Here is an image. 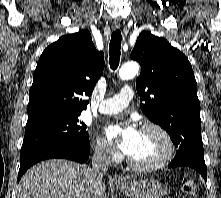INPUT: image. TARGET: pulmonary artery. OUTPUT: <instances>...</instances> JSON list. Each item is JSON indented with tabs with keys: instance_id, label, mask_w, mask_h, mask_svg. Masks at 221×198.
<instances>
[{
	"instance_id": "1",
	"label": "pulmonary artery",
	"mask_w": 221,
	"mask_h": 198,
	"mask_svg": "<svg viewBox=\"0 0 221 198\" xmlns=\"http://www.w3.org/2000/svg\"><path fill=\"white\" fill-rule=\"evenodd\" d=\"M133 98V90L130 87H124L120 93L102 101L99 111L102 114H115L125 109Z\"/></svg>"
}]
</instances>
